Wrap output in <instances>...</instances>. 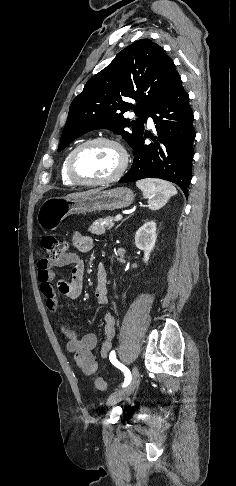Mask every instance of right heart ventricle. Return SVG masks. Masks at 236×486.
<instances>
[{"mask_svg": "<svg viewBox=\"0 0 236 486\" xmlns=\"http://www.w3.org/2000/svg\"><path fill=\"white\" fill-rule=\"evenodd\" d=\"M70 153L71 152H69L66 155L65 159L63 160L62 165H61V172L60 173H61V180H62V182L65 185L73 186V185H75V183L70 180V178L68 177L67 172H66L67 159H68Z\"/></svg>", "mask_w": 236, "mask_h": 486, "instance_id": "1", "label": "right heart ventricle"}]
</instances>
